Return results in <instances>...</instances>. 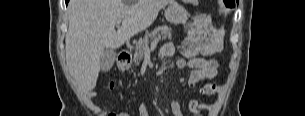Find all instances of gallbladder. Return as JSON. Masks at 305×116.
Listing matches in <instances>:
<instances>
[{
	"mask_svg": "<svg viewBox=\"0 0 305 116\" xmlns=\"http://www.w3.org/2000/svg\"><path fill=\"white\" fill-rule=\"evenodd\" d=\"M116 59V53L113 50H105L101 56L100 66L102 71L108 72Z\"/></svg>",
	"mask_w": 305,
	"mask_h": 116,
	"instance_id": "bac80fb5",
	"label": "gallbladder"
}]
</instances>
